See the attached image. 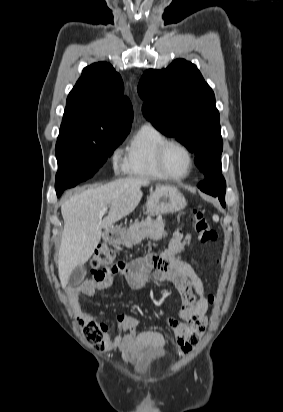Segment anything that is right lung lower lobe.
<instances>
[{"label":"right lung lower lobe","mask_w":283,"mask_h":412,"mask_svg":"<svg viewBox=\"0 0 283 412\" xmlns=\"http://www.w3.org/2000/svg\"><path fill=\"white\" fill-rule=\"evenodd\" d=\"M80 182H82V181H79V180H65V181L56 182L55 189H56L57 196L59 197L62 194V192L64 191V189L74 187L75 185H77Z\"/></svg>","instance_id":"obj_1"}]
</instances>
